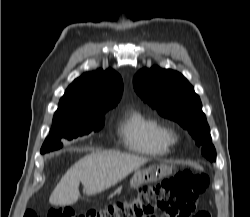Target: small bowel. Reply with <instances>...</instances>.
Listing matches in <instances>:
<instances>
[{
    "instance_id": "small-bowel-1",
    "label": "small bowel",
    "mask_w": 250,
    "mask_h": 217,
    "mask_svg": "<svg viewBox=\"0 0 250 217\" xmlns=\"http://www.w3.org/2000/svg\"><path fill=\"white\" fill-rule=\"evenodd\" d=\"M193 211H194V209H191V211H190L189 213H191V212H193ZM189 213H188V214H189ZM188 214H187V215H188ZM186 217H187V216H186Z\"/></svg>"
}]
</instances>
